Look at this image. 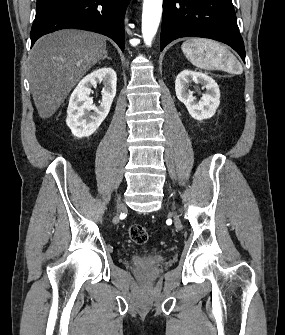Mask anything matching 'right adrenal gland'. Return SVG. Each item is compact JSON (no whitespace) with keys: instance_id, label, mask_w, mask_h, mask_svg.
I'll use <instances>...</instances> for the list:
<instances>
[{"instance_id":"2a0ac1e0","label":"right adrenal gland","mask_w":285,"mask_h":335,"mask_svg":"<svg viewBox=\"0 0 285 335\" xmlns=\"http://www.w3.org/2000/svg\"><path fill=\"white\" fill-rule=\"evenodd\" d=\"M102 60H112V58H108V54H104V58Z\"/></svg>"}]
</instances>
